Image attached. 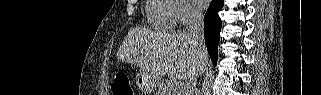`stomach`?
<instances>
[{"mask_svg":"<svg viewBox=\"0 0 321 95\" xmlns=\"http://www.w3.org/2000/svg\"><path fill=\"white\" fill-rule=\"evenodd\" d=\"M136 83L145 92L153 91L157 86L155 78L144 71L137 74Z\"/></svg>","mask_w":321,"mask_h":95,"instance_id":"stomach-1","label":"stomach"}]
</instances>
